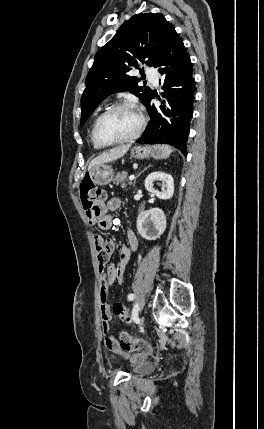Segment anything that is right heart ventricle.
<instances>
[{
    "label": "right heart ventricle",
    "instance_id": "e07e8e85",
    "mask_svg": "<svg viewBox=\"0 0 264 429\" xmlns=\"http://www.w3.org/2000/svg\"><path fill=\"white\" fill-rule=\"evenodd\" d=\"M91 142H92V144H93L94 148H101V146H99V145H98V144L93 140L92 133H91Z\"/></svg>",
    "mask_w": 264,
    "mask_h": 429
}]
</instances>
